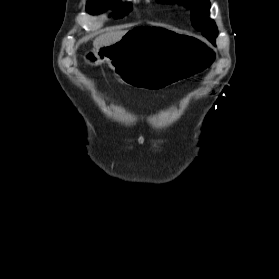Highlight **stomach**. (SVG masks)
Returning <instances> with one entry per match:
<instances>
[{"instance_id": "0dacf381", "label": "stomach", "mask_w": 279, "mask_h": 279, "mask_svg": "<svg viewBox=\"0 0 279 279\" xmlns=\"http://www.w3.org/2000/svg\"><path fill=\"white\" fill-rule=\"evenodd\" d=\"M177 49V50H141ZM104 59L134 91H166L179 82H198L213 67L212 48L198 37L164 25H135L115 44L86 50L87 69H97Z\"/></svg>"}]
</instances>
